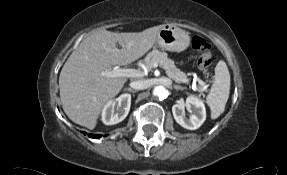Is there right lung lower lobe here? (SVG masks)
Here are the masks:
<instances>
[{
  "instance_id": "98d812e1",
  "label": "right lung lower lobe",
  "mask_w": 287,
  "mask_h": 175,
  "mask_svg": "<svg viewBox=\"0 0 287 175\" xmlns=\"http://www.w3.org/2000/svg\"><path fill=\"white\" fill-rule=\"evenodd\" d=\"M84 134H86V133L84 132ZM89 137H91V138H99V137H100V135H93V134H90V135H89Z\"/></svg>"
}]
</instances>
